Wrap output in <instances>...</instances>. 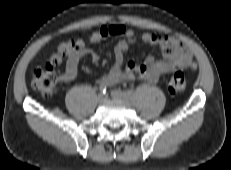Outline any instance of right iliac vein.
Listing matches in <instances>:
<instances>
[{"label": "right iliac vein", "mask_w": 231, "mask_h": 170, "mask_svg": "<svg viewBox=\"0 0 231 170\" xmlns=\"http://www.w3.org/2000/svg\"><path fill=\"white\" fill-rule=\"evenodd\" d=\"M104 99H105V96H104L103 94H99V95H98V101H99V102L104 101Z\"/></svg>", "instance_id": "obj_1"}]
</instances>
